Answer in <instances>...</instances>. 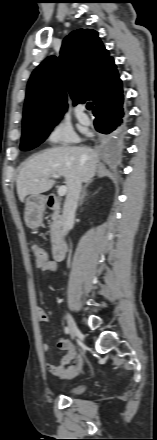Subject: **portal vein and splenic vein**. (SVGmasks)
Instances as JSON below:
<instances>
[{
    "mask_svg": "<svg viewBox=\"0 0 157 440\" xmlns=\"http://www.w3.org/2000/svg\"><path fill=\"white\" fill-rule=\"evenodd\" d=\"M51 177H52V178H59L60 175H58V174H52ZM66 193H67V187H66L65 185L60 186V187L58 188V195H59L60 197L66 195Z\"/></svg>",
    "mask_w": 157,
    "mask_h": 440,
    "instance_id": "portal-vein-and-splenic-vein-1",
    "label": "portal vein and splenic vein"
}]
</instances>
